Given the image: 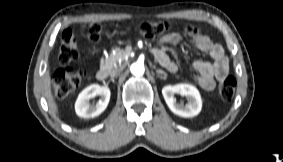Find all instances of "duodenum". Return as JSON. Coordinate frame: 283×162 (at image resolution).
Listing matches in <instances>:
<instances>
[{"label": "duodenum", "instance_id": "obj_1", "mask_svg": "<svg viewBox=\"0 0 283 162\" xmlns=\"http://www.w3.org/2000/svg\"><path fill=\"white\" fill-rule=\"evenodd\" d=\"M96 77L99 81H104L108 77V71L105 68H101L96 73Z\"/></svg>", "mask_w": 283, "mask_h": 162}]
</instances>
